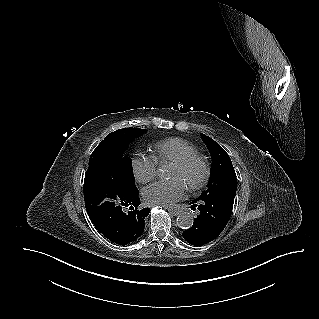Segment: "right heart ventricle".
Segmentation results:
<instances>
[{"label": "right heart ventricle", "instance_id": "e07e8e85", "mask_svg": "<svg viewBox=\"0 0 319 319\" xmlns=\"http://www.w3.org/2000/svg\"><path fill=\"white\" fill-rule=\"evenodd\" d=\"M152 156L159 163H174L183 157L197 153L196 147L189 141L172 137L157 142L152 148Z\"/></svg>", "mask_w": 319, "mask_h": 319}]
</instances>
